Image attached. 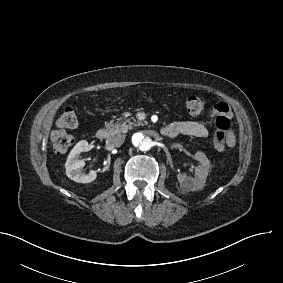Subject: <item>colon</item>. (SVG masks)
<instances>
[{
    "instance_id": "obj_1",
    "label": "colon",
    "mask_w": 283,
    "mask_h": 283,
    "mask_svg": "<svg viewBox=\"0 0 283 283\" xmlns=\"http://www.w3.org/2000/svg\"><path fill=\"white\" fill-rule=\"evenodd\" d=\"M187 112L190 115H199L207 105V99L201 95H190L184 98ZM79 114L75 107H66L57 120V126L51 132L52 148L55 153L62 154L67 152L72 144V136L64 130L66 127H73L78 124ZM231 126V117L225 114L217 115L215 130L212 136V144L215 150L222 151L225 148L227 132Z\"/></svg>"
}]
</instances>
